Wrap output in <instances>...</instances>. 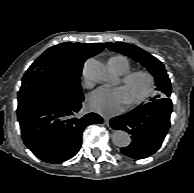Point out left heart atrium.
Masks as SVG:
<instances>
[{
  "label": "left heart atrium",
  "instance_id": "obj_1",
  "mask_svg": "<svg viewBox=\"0 0 194 193\" xmlns=\"http://www.w3.org/2000/svg\"><path fill=\"white\" fill-rule=\"evenodd\" d=\"M88 104L92 111L100 114L119 113L127 104L125 91L122 87H100L90 95Z\"/></svg>",
  "mask_w": 194,
  "mask_h": 193
}]
</instances>
